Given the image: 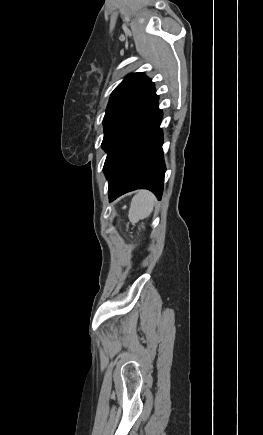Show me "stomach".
Masks as SVG:
<instances>
[{
    "mask_svg": "<svg viewBox=\"0 0 263 435\" xmlns=\"http://www.w3.org/2000/svg\"><path fill=\"white\" fill-rule=\"evenodd\" d=\"M116 222L119 224L117 226V231L119 233H126L128 231V226L126 224H121L123 222V219L121 217H118L116 219Z\"/></svg>",
    "mask_w": 263,
    "mask_h": 435,
    "instance_id": "0dacf381",
    "label": "stomach"
}]
</instances>
